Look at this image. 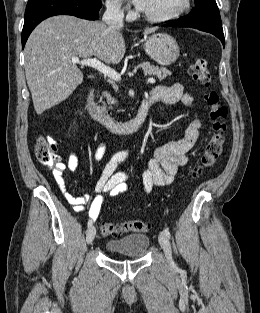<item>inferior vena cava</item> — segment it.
Segmentation results:
<instances>
[{"instance_id": "602c4592", "label": "inferior vena cava", "mask_w": 260, "mask_h": 313, "mask_svg": "<svg viewBox=\"0 0 260 313\" xmlns=\"http://www.w3.org/2000/svg\"><path fill=\"white\" fill-rule=\"evenodd\" d=\"M124 13L120 9L118 2L109 1L106 3V11L102 17V20L109 26L122 27L123 26Z\"/></svg>"}]
</instances>
